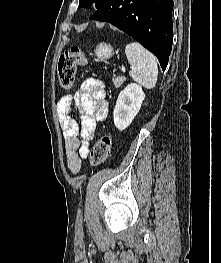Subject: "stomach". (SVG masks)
Masks as SVG:
<instances>
[{
    "instance_id": "1",
    "label": "stomach",
    "mask_w": 221,
    "mask_h": 263,
    "mask_svg": "<svg viewBox=\"0 0 221 263\" xmlns=\"http://www.w3.org/2000/svg\"><path fill=\"white\" fill-rule=\"evenodd\" d=\"M95 54L98 60L104 61L105 59L110 58L114 54V52L111 45L106 43H100L95 49Z\"/></svg>"
}]
</instances>
